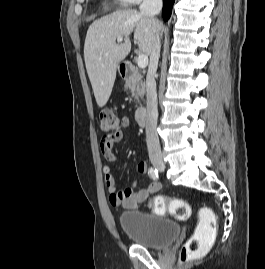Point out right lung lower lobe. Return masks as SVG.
Segmentation results:
<instances>
[{
	"instance_id": "obj_1",
	"label": "right lung lower lobe",
	"mask_w": 265,
	"mask_h": 269,
	"mask_svg": "<svg viewBox=\"0 0 265 269\" xmlns=\"http://www.w3.org/2000/svg\"><path fill=\"white\" fill-rule=\"evenodd\" d=\"M175 0H163V9H162V16L165 21L170 18L172 7Z\"/></svg>"
}]
</instances>
